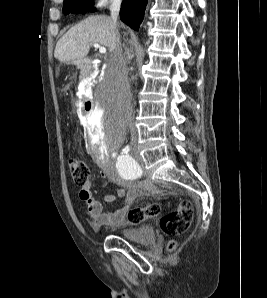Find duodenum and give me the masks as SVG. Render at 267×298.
I'll return each mask as SVG.
<instances>
[{
	"mask_svg": "<svg viewBox=\"0 0 267 298\" xmlns=\"http://www.w3.org/2000/svg\"><path fill=\"white\" fill-rule=\"evenodd\" d=\"M97 62H94L90 58H84L76 61L77 67L82 71V76H92V79H99V74H93V71H89L91 68L96 65ZM84 100L80 101V104L83 105V115H92V105L94 101L91 98H96V93H88L83 95Z\"/></svg>",
	"mask_w": 267,
	"mask_h": 298,
	"instance_id": "obj_1",
	"label": "duodenum"
}]
</instances>
